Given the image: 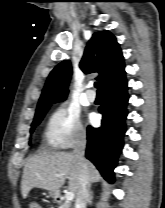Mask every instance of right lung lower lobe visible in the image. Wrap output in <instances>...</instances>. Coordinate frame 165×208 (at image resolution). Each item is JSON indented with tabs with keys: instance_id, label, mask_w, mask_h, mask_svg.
Instances as JSON below:
<instances>
[{
	"instance_id": "98d812e1",
	"label": "right lung lower lobe",
	"mask_w": 165,
	"mask_h": 208,
	"mask_svg": "<svg viewBox=\"0 0 165 208\" xmlns=\"http://www.w3.org/2000/svg\"><path fill=\"white\" fill-rule=\"evenodd\" d=\"M127 89L125 73L103 87V104L99 107V112L103 115L102 124L99 128H87L86 157L111 183L114 182L113 170L122 151L126 132Z\"/></svg>"
}]
</instances>
